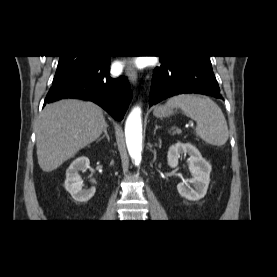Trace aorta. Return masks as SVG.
Here are the masks:
<instances>
[{
	"instance_id": "aorta-1",
	"label": "aorta",
	"mask_w": 277,
	"mask_h": 277,
	"mask_svg": "<svg viewBox=\"0 0 277 277\" xmlns=\"http://www.w3.org/2000/svg\"><path fill=\"white\" fill-rule=\"evenodd\" d=\"M125 137L128 152L138 165L141 161L142 151V119L141 108L134 107L127 117L125 124Z\"/></svg>"
}]
</instances>
